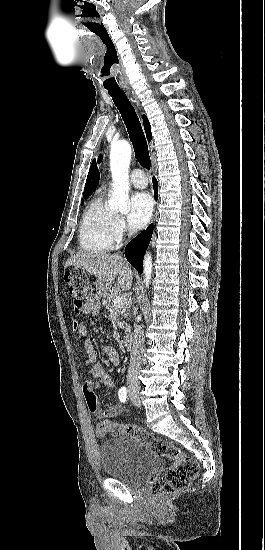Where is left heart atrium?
Returning <instances> with one entry per match:
<instances>
[{
	"label": "left heart atrium",
	"mask_w": 265,
	"mask_h": 550,
	"mask_svg": "<svg viewBox=\"0 0 265 550\" xmlns=\"http://www.w3.org/2000/svg\"><path fill=\"white\" fill-rule=\"evenodd\" d=\"M153 212V202L148 193L139 192L130 199L128 223L133 229L144 227L150 220Z\"/></svg>",
	"instance_id": "left-heart-atrium-1"
}]
</instances>
